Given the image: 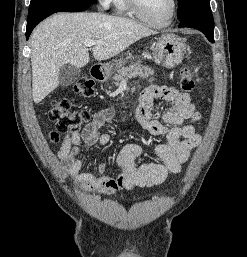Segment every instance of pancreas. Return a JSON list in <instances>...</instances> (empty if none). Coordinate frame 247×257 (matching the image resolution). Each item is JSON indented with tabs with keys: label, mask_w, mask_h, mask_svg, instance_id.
I'll return each mask as SVG.
<instances>
[{
	"label": "pancreas",
	"mask_w": 247,
	"mask_h": 257,
	"mask_svg": "<svg viewBox=\"0 0 247 257\" xmlns=\"http://www.w3.org/2000/svg\"><path fill=\"white\" fill-rule=\"evenodd\" d=\"M154 71L147 66H142L139 62L131 63L126 67H122L117 70V73L113 76V84L119 85L120 81L127 80L132 77L149 78Z\"/></svg>",
	"instance_id": "cf45deb5"
}]
</instances>
